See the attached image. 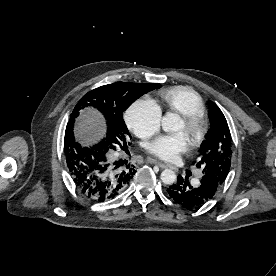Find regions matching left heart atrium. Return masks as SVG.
Returning a JSON list of instances; mask_svg holds the SVG:
<instances>
[{
  "mask_svg": "<svg viewBox=\"0 0 276 276\" xmlns=\"http://www.w3.org/2000/svg\"><path fill=\"white\" fill-rule=\"evenodd\" d=\"M187 138L182 133L160 136L147 145V151L162 160L173 161L188 150Z\"/></svg>",
  "mask_w": 276,
  "mask_h": 276,
  "instance_id": "1",
  "label": "left heart atrium"
}]
</instances>
